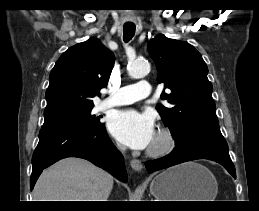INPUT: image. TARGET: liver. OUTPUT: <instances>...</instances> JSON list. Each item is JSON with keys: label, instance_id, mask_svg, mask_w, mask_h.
I'll return each instance as SVG.
<instances>
[{"label": "liver", "instance_id": "obj_1", "mask_svg": "<svg viewBox=\"0 0 259 211\" xmlns=\"http://www.w3.org/2000/svg\"><path fill=\"white\" fill-rule=\"evenodd\" d=\"M113 177L87 160L66 158L44 170L34 201H108Z\"/></svg>", "mask_w": 259, "mask_h": 211}]
</instances>
